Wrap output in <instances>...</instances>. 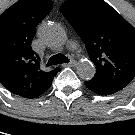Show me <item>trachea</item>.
<instances>
[{
	"label": "trachea",
	"mask_w": 135,
	"mask_h": 135,
	"mask_svg": "<svg viewBox=\"0 0 135 135\" xmlns=\"http://www.w3.org/2000/svg\"><path fill=\"white\" fill-rule=\"evenodd\" d=\"M68 62H69V59L66 56H64L63 54L59 53V54L52 56L48 60L46 66H52V65L68 63Z\"/></svg>",
	"instance_id": "3493384b"
}]
</instances>
